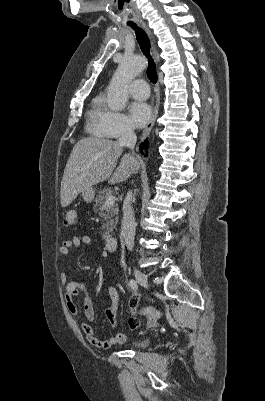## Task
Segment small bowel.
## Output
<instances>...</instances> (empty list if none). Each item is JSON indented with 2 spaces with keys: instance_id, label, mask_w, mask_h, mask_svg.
Masks as SVG:
<instances>
[{
  "instance_id": "obj_1",
  "label": "small bowel",
  "mask_w": 265,
  "mask_h": 401,
  "mask_svg": "<svg viewBox=\"0 0 265 401\" xmlns=\"http://www.w3.org/2000/svg\"><path fill=\"white\" fill-rule=\"evenodd\" d=\"M91 238L88 235H73L70 238L63 241L59 248V252L63 256H67L71 251H76L83 244H90ZM60 281L64 288L66 307L69 313L80 321V326L85 336V339L93 346L99 349H109L116 344H122L126 341V335L123 332H116L114 335L107 339H99L96 337L95 332L91 326V323L95 319V310L93 302L85 288L84 284L76 281H68L66 273H61ZM108 295L111 299L110 306L105 310V315L110 324L115 327L117 324V314L119 310V294L117 289L109 285L107 287ZM80 293H84L85 297L83 300V311L85 319H81L77 306L75 305L73 299L77 297ZM139 295L134 293L129 301V307L131 310V316L135 313L138 305ZM130 316V318H131ZM130 318L128 324L130 326Z\"/></svg>"
}]
</instances>
